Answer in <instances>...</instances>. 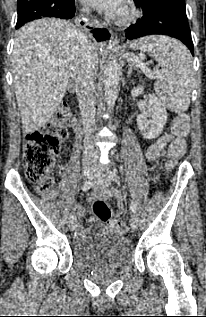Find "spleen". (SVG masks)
Segmentation results:
<instances>
[{
  "label": "spleen",
  "instance_id": "spleen-1",
  "mask_svg": "<svg viewBox=\"0 0 206 317\" xmlns=\"http://www.w3.org/2000/svg\"><path fill=\"white\" fill-rule=\"evenodd\" d=\"M133 50L152 56L165 76L154 85L159 99L169 110L184 112L190 104L193 70L188 49L179 41L165 36H148L134 41Z\"/></svg>",
  "mask_w": 206,
  "mask_h": 317
}]
</instances>
